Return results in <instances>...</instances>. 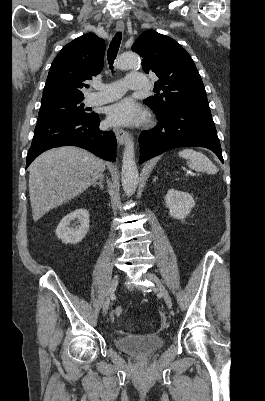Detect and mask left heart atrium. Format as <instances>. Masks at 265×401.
<instances>
[{"instance_id": "obj_1", "label": "left heart atrium", "mask_w": 265, "mask_h": 401, "mask_svg": "<svg viewBox=\"0 0 265 401\" xmlns=\"http://www.w3.org/2000/svg\"><path fill=\"white\" fill-rule=\"evenodd\" d=\"M142 112L130 98L123 99L107 109V120L114 125H125L138 122Z\"/></svg>"}]
</instances>
